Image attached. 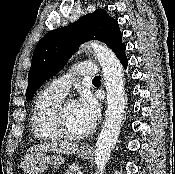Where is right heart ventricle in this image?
I'll list each match as a JSON object with an SVG mask.
<instances>
[{"mask_svg": "<svg viewBox=\"0 0 175 174\" xmlns=\"http://www.w3.org/2000/svg\"><path fill=\"white\" fill-rule=\"evenodd\" d=\"M64 96L49 88L42 91L35 99L31 114V130L35 138L41 142H56L62 139L58 133L54 114Z\"/></svg>", "mask_w": 175, "mask_h": 174, "instance_id": "obj_1", "label": "right heart ventricle"}]
</instances>
